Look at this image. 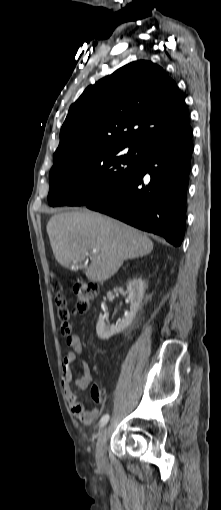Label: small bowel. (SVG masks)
Segmentation results:
<instances>
[{
	"label": "small bowel",
	"instance_id": "c3829d8e",
	"mask_svg": "<svg viewBox=\"0 0 221 510\" xmlns=\"http://www.w3.org/2000/svg\"><path fill=\"white\" fill-rule=\"evenodd\" d=\"M67 344L71 348L62 361L63 370V389L67 400L72 408L74 416L84 425H92L98 416L96 409L87 410L78 399L77 389H86L92 383V373L88 363L80 360V369L82 375L74 378L72 365L77 361L83 350V343L78 335H72L67 338ZM101 394L102 391L100 390Z\"/></svg>",
	"mask_w": 221,
	"mask_h": 510
}]
</instances>
